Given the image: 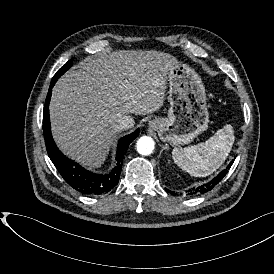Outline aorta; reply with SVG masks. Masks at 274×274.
<instances>
[{"instance_id":"obj_1","label":"aorta","mask_w":274,"mask_h":274,"mask_svg":"<svg viewBox=\"0 0 274 274\" xmlns=\"http://www.w3.org/2000/svg\"><path fill=\"white\" fill-rule=\"evenodd\" d=\"M137 151L142 155H149L154 150V141L151 137L142 136L137 141Z\"/></svg>"}]
</instances>
